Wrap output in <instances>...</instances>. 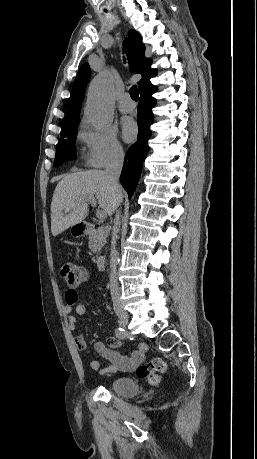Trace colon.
Wrapping results in <instances>:
<instances>
[{"instance_id": "colon-1", "label": "colon", "mask_w": 257, "mask_h": 459, "mask_svg": "<svg viewBox=\"0 0 257 459\" xmlns=\"http://www.w3.org/2000/svg\"><path fill=\"white\" fill-rule=\"evenodd\" d=\"M61 276L69 286H77L86 278L84 269L73 263H64L61 266ZM167 369L168 365L163 359L153 358L149 362L139 365L136 368V375L140 379H146L149 384L156 385Z\"/></svg>"}]
</instances>
